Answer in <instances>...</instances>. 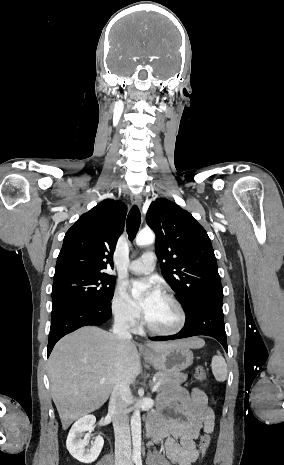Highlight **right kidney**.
Here are the masks:
<instances>
[{"mask_svg": "<svg viewBox=\"0 0 284 465\" xmlns=\"http://www.w3.org/2000/svg\"><path fill=\"white\" fill-rule=\"evenodd\" d=\"M94 423H96L94 415H85L82 419H78L69 431L66 447L70 455L74 459H77V461H80V463H93L102 451L104 445L103 437H96L91 447H87L88 437H84L85 431H93Z\"/></svg>", "mask_w": 284, "mask_h": 465, "instance_id": "obj_1", "label": "right kidney"}]
</instances>
